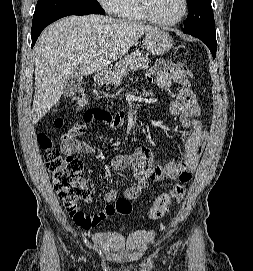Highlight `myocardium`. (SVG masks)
Masks as SVG:
<instances>
[{"label": "myocardium", "mask_w": 253, "mask_h": 271, "mask_svg": "<svg viewBox=\"0 0 253 271\" xmlns=\"http://www.w3.org/2000/svg\"><path fill=\"white\" fill-rule=\"evenodd\" d=\"M139 1H140L141 10L149 21L157 25L165 26V27H171V26H175L179 24L187 16L188 10H189L188 0H182L183 9L179 17L171 21H163V20L158 19L152 12L150 0H139Z\"/></svg>", "instance_id": "obj_1"}]
</instances>
